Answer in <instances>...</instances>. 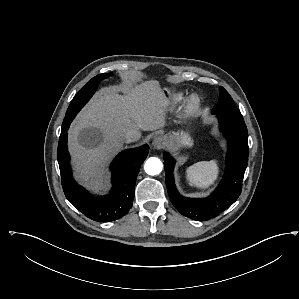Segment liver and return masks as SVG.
<instances>
[{
  "instance_id": "liver-1",
  "label": "liver",
  "mask_w": 299,
  "mask_h": 299,
  "mask_svg": "<svg viewBox=\"0 0 299 299\" xmlns=\"http://www.w3.org/2000/svg\"><path fill=\"white\" fill-rule=\"evenodd\" d=\"M102 88L78 116L69 149L77 178L91 189L103 182V169L122 147L129 130L155 131L165 125L168 105L157 81Z\"/></svg>"
}]
</instances>
